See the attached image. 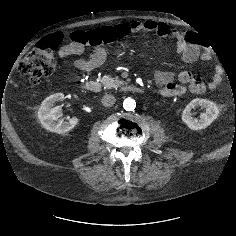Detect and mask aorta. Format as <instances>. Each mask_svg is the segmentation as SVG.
Listing matches in <instances>:
<instances>
[{
	"instance_id": "obj_1",
	"label": "aorta",
	"mask_w": 236,
	"mask_h": 236,
	"mask_svg": "<svg viewBox=\"0 0 236 236\" xmlns=\"http://www.w3.org/2000/svg\"><path fill=\"white\" fill-rule=\"evenodd\" d=\"M123 107L126 111H133L136 107V101L132 98H126L123 101Z\"/></svg>"
}]
</instances>
